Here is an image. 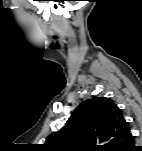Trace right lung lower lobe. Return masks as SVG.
I'll return each instance as SVG.
<instances>
[{
	"mask_svg": "<svg viewBox=\"0 0 142 151\" xmlns=\"http://www.w3.org/2000/svg\"><path fill=\"white\" fill-rule=\"evenodd\" d=\"M139 147L134 146V142L133 140L123 149H121L120 151H134V150H139Z\"/></svg>",
	"mask_w": 142,
	"mask_h": 151,
	"instance_id": "98d812e1",
	"label": "right lung lower lobe"
}]
</instances>
